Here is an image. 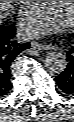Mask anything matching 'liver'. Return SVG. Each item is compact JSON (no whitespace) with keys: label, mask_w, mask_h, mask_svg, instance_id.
I'll use <instances>...</instances> for the list:
<instances>
[{"label":"liver","mask_w":74,"mask_h":122,"mask_svg":"<svg viewBox=\"0 0 74 122\" xmlns=\"http://www.w3.org/2000/svg\"><path fill=\"white\" fill-rule=\"evenodd\" d=\"M11 1H0V18L1 21L7 16L6 10L9 7Z\"/></svg>","instance_id":"6515ba94"}]
</instances>
